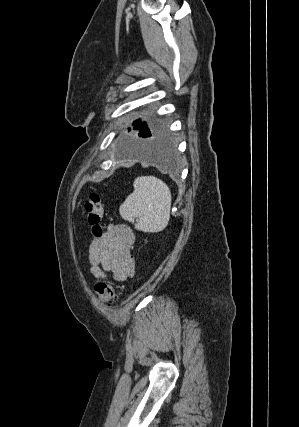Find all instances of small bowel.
<instances>
[{"instance_id":"obj_1","label":"small bowel","mask_w":299,"mask_h":427,"mask_svg":"<svg viewBox=\"0 0 299 427\" xmlns=\"http://www.w3.org/2000/svg\"><path fill=\"white\" fill-rule=\"evenodd\" d=\"M135 234L127 224H111L105 233L94 238L88 249V265L96 279L111 273L116 281H124L135 271V259L131 253Z\"/></svg>"}]
</instances>
